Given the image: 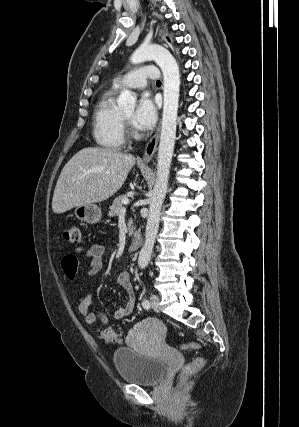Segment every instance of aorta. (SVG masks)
<instances>
[{
    "mask_svg": "<svg viewBox=\"0 0 299 427\" xmlns=\"http://www.w3.org/2000/svg\"><path fill=\"white\" fill-rule=\"evenodd\" d=\"M149 60H154L163 72L164 104L158 149L157 176L149 201V214L145 231V242L138 258V265L141 268H145L150 261L159 228L162 204L168 190L170 166L176 139L180 91L179 67L172 54L162 46L141 45L135 50L130 58L132 64H140ZM117 103L124 111L133 112L136 103L135 94L129 90H123L117 100Z\"/></svg>",
    "mask_w": 299,
    "mask_h": 427,
    "instance_id": "762f6f07",
    "label": "aorta"
}]
</instances>
